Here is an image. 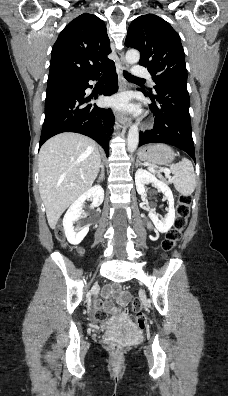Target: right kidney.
<instances>
[{"label":"right kidney","instance_id":"obj_1","mask_svg":"<svg viewBox=\"0 0 228 396\" xmlns=\"http://www.w3.org/2000/svg\"><path fill=\"white\" fill-rule=\"evenodd\" d=\"M92 200L91 207H98L104 200V190L101 186L91 187L81 196H79L69 207L64 218L63 227L67 240L72 245H78L82 242L89 231V227H85L80 231L74 230V222L77 221L82 214V206L86 200Z\"/></svg>","mask_w":228,"mask_h":396}]
</instances>
